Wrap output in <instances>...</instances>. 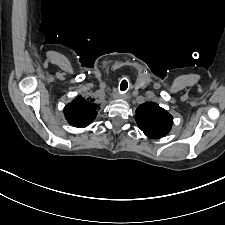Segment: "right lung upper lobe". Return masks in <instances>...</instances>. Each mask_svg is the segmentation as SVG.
<instances>
[{"label": "right lung upper lobe", "mask_w": 225, "mask_h": 225, "mask_svg": "<svg viewBox=\"0 0 225 225\" xmlns=\"http://www.w3.org/2000/svg\"><path fill=\"white\" fill-rule=\"evenodd\" d=\"M90 101L94 102V100ZM92 102H87L82 97H76L69 103L64 109L68 123L77 128H84L92 123L96 118L99 107V105Z\"/></svg>", "instance_id": "cb5924a9"}]
</instances>
